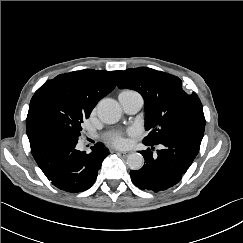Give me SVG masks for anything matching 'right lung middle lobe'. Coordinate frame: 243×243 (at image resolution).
Returning a JSON list of instances; mask_svg holds the SVG:
<instances>
[{
  "label": "right lung middle lobe",
  "mask_w": 243,
  "mask_h": 243,
  "mask_svg": "<svg viewBox=\"0 0 243 243\" xmlns=\"http://www.w3.org/2000/svg\"><path fill=\"white\" fill-rule=\"evenodd\" d=\"M90 113L83 111L55 89H38L31 99L26 123L43 121L53 123L75 137L80 136L81 123Z\"/></svg>",
  "instance_id": "right-lung-middle-lobe-1"
}]
</instances>
